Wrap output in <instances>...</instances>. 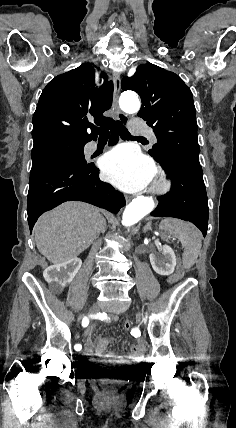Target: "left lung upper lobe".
<instances>
[{"label": "left lung upper lobe", "mask_w": 236, "mask_h": 428, "mask_svg": "<svg viewBox=\"0 0 236 428\" xmlns=\"http://www.w3.org/2000/svg\"><path fill=\"white\" fill-rule=\"evenodd\" d=\"M121 87L141 97L138 116L147 121L157 138L149 154L161 165L177 160L200 166L196 110L191 90L183 80L147 63L139 65L132 77H124Z\"/></svg>", "instance_id": "5c2ea615"}]
</instances>
